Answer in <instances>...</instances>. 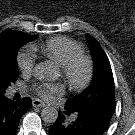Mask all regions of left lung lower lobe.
<instances>
[{
	"label": "left lung lower lobe",
	"instance_id": "left-lung-lower-lobe-1",
	"mask_svg": "<svg viewBox=\"0 0 135 135\" xmlns=\"http://www.w3.org/2000/svg\"><path fill=\"white\" fill-rule=\"evenodd\" d=\"M65 109L66 115L75 113V120L68 123L59 111L56 122L50 126L49 135H102L114 113L106 108L73 110L65 106Z\"/></svg>",
	"mask_w": 135,
	"mask_h": 135
}]
</instances>
